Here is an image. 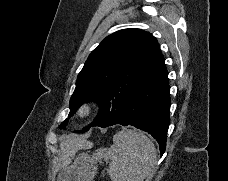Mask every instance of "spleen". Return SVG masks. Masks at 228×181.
Segmentation results:
<instances>
[{
  "instance_id": "3e777b00",
  "label": "spleen",
  "mask_w": 228,
  "mask_h": 181,
  "mask_svg": "<svg viewBox=\"0 0 228 181\" xmlns=\"http://www.w3.org/2000/svg\"><path fill=\"white\" fill-rule=\"evenodd\" d=\"M93 159L110 161L106 171L111 181H144L155 173L157 153L144 133L122 129L114 135L110 149H97Z\"/></svg>"
}]
</instances>
